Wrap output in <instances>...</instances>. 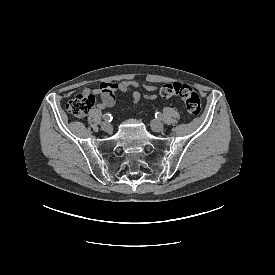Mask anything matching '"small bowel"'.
<instances>
[{"label":"small bowel","mask_w":275,"mask_h":275,"mask_svg":"<svg viewBox=\"0 0 275 275\" xmlns=\"http://www.w3.org/2000/svg\"><path fill=\"white\" fill-rule=\"evenodd\" d=\"M145 90L143 93L141 90ZM120 90L122 92L132 93V104H137L140 100H153L157 97V87L151 83H139L133 79L121 80L118 82H102L97 88H86L85 95H97L101 98V102L96 105L98 110L111 107L114 104V92Z\"/></svg>","instance_id":"1"}]
</instances>
